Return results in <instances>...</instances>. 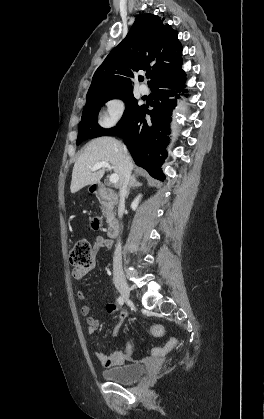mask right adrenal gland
I'll use <instances>...</instances> for the list:
<instances>
[{
    "label": "right adrenal gland",
    "instance_id": "right-adrenal-gland-1",
    "mask_svg": "<svg viewBox=\"0 0 264 419\" xmlns=\"http://www.w3.org/2000/svg\"><path fill=\"white\" fill-rule=\"evenodd\" d=\"M140 186H142V183L137 181L136 175L133 174L131 176V179H130L129 187H128V190H127V193H126V198H128L131 188L140 187Z\"/></svg>",
    "mask_w": 264,
    "mask_h": 419
}]
</instances>
